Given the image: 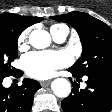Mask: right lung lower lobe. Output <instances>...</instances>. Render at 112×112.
Returning <instances> with one entry per match:
<instances>
[{
    "label": "right lung lower lobe",
    "mask_w": 112,
    "mask_h": 112,
    "mask_svg": "<svg viewBox=\"0 0 112 112\" xmlns=\"http://www.w3.org/2000/svg\"><path fill=\"white\" fill-rule=\"evenodd\" d=\"M21 74L15 70L11 74ZM0 78V112H30L35 92L41 88L40 84L32 79H24L21 86L12 85L5 88Z\"/></svg>",
    "instance_id": "98d812e1"
}]
</instances>
